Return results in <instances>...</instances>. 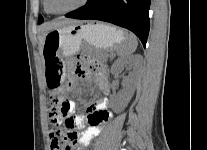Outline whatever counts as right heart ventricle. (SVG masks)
I'll return each instance as SVG.
<instances>
[{"mask_svg": "<svg viewBox=\"0 0 207 150\" xmlns=\"http://www.w3.org/2000/svg\"><path fill=\"white\" fill-rule=\"evenodd\" d=\"M44 11H45L46 13L50 14V13L48 12V10L46 9L45 3H44Z\"/></svg>", "mask_w": 207, "mask_h": 150, "instance_id": "1", "label": "right heart ventricle"}]
</instances>
